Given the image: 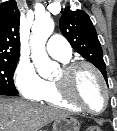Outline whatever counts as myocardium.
Here are the masks:
<instances>
[{
  "mask_svg": "<svg viewBox=\"0 0 117 131\" xmlns=\"http://www.w3.org/2000/svg\"><path fill=\"white\" fill-rule=\"evenodd\" d=\"M87 68L94 73L96 78L98 79L100 86L104 95V104L103 107L99 111H94L84 105L81 101L77 99V97L73 93L72 89V81L75 73L81 69ZM57 90L60 96L69 104L78 108L80 111L97 115L104 112L109 103V91L106 85V82L101 74V72L91 63L85 61H75L69 62L62 66L60 77L54 80Z\"/></svg>",
  "mask_w": 117,
  "mask_h": 131,
  "instance_id": "f54148a6",
  "label": "myocardium"
}]
</instances>
